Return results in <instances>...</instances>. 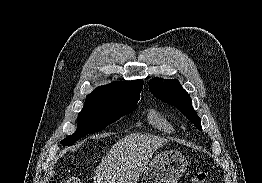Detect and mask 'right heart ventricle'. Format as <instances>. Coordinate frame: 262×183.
Returning a JSON list of instances; mask_svg holds the SVG:
<instances>
[{"instance_id":"right-heart-ventricle-1","label":"right heart ventricle","mask_w":262,"mask_h":183,"mask_svg":"<svg viewBox=\"0 0 262 183\" xmlns=\"http://www.w3.org/2000/svg\"><path fill=\"white\" fill-rule=\"evenodd\" d=\"M148 121L158 130L170 133L173 128L169 121L157 110H151L148 114Z\"/></svg>"}]
</instances>
